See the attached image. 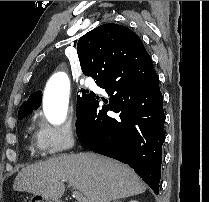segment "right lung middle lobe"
<instances>
[{"mask_svg":"<svg viewBox=\"0 0 209 202\" xmlns=\"http://www.w3.org/2000/svg\"><path fill=\"white\" fill-rule=\"evenodd\" d=\"M82 95H78L77 96V107H76V115L80 116L84 110L86 109L88 102L90 100V98L93 96L92 93H89L87 90H81ZM38 107L36 108H22L19 110L18 113V119H22L24 117H27L28 115H30L32 113L33 110H36Z\"/></svg>","mask_w":209,"mask_h":202,"instance_id":"dd1d6c3e","label":"right lung middle lobe"}]
</instances>
